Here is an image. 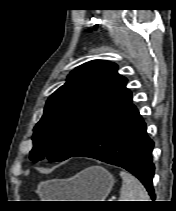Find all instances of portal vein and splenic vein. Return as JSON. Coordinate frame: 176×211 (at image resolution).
Returning <instances> with one entry per match:
<instances>
[{
	"mask_svg": "<svg viewBox=\"0 0 176 211\" xmlns=\"http://www.w3.org/2000/svg\"><path fill=\"white\" fill-rule=\"evenodd\" d=\"M113 199H115V197H112L109 201H113Z\"/></svg>",
	"mask_w": 176,
	"mask_h": 211,
	"instance_id": "1",
	"label": "portal vein and splenic vein"
}]
</instances>
